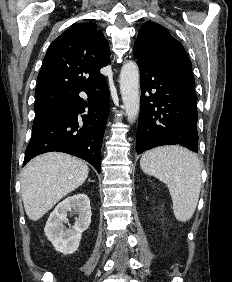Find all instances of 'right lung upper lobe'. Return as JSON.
<instances>
[{
	"label": "right lung upper lobe",
	"mask_w": 232,
	"mask_h": 282,
	"mask_svg": "<svg viewBox=\"0 0 232 282\" xmlns=\"http://www.w3.org/2000/svg\"><path fill=\"white\" fill-rule=\"evenodd\" d=\"M109 62V44L97 25L74 24L48 48L35 92L55 91L71 96L101 80L99 70Z\"/></svg>",
	"instance_id": "right-lung-upper-lobe-1"
}]
</instances>
